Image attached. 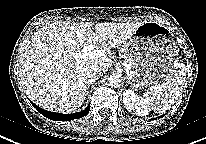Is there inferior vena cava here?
I'll use <instances>...</instances> for the list:
<instances>
[{"instance_id":"inferior-vena-cava-1","label":"inferior vena cava","mask_w":206,"mask_h":144,"mask_svg":"<svg viewBox=\"0 0 206 144\" xmlns=\"http://www.w3.org/2000/svg\"><path fill=\"white\" fill-rule=\"evenodd\" d=\"M102 75V71L98 67H92L87 72V82H95Z\"/></svg>"}]
</instances>
